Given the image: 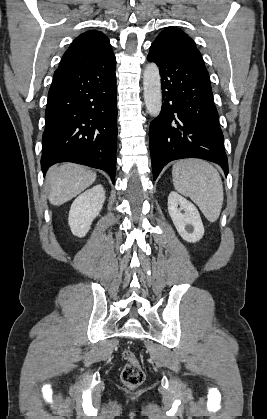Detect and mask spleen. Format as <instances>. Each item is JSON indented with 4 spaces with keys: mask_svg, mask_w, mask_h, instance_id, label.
Here are the masks:
<instances>
[{
    "mask_svg": "<svg viewBox=\"0 0 267 419\" xmlns=\"http://www.w3.org/2000/svg\"><path fill=\"white\" fill-rule=\"evenodd\" d=\"M175 189L189 197L210 222H215L223 205L221 176L210 163L200 159L177 161L172 167Z\"/></svg>",
    "mask_w": 267,
    "mask_h": 419,
    "instance_id": "3e777b00",
    "label": "spleen"
}]
</instances>
